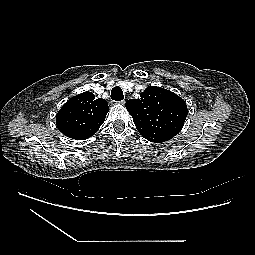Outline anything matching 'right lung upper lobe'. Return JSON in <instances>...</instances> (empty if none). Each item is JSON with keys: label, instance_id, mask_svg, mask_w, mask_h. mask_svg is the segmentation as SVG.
I'll use <instances>...</instances> for the list:
<instances>
[{"label": "right lung upper lobe", "instance_id": "cb5924a9", "mask_svg": "<svg viewBox=\"0 0 255 255\" xmlns=\"http://www.w3.org/2000/svg\"><path fill=\"white\" fill-rule=\"evenodd\" d=\"M108 111L107 101L96 99L93 93L86 91L63 105L56 116V125L65 136L85 140L98 131Z\"/></svg>", "mask_w": 255, "mask_h": 255}]
</instances>
